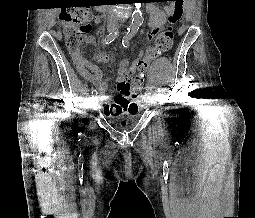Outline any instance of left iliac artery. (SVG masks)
<instances>
[{
  "label": "left iliac artery",
  "mask_w": 255,
  "mask_h": 218,
  "mask_svg": "<svg viewBox=\"0 0 255 218\" xmlns=\"http://www.w3.org/2000/svg\"><path fill=\"white\" fill-rule=\"evenodd\" d=\"M135 34V31H129L123 38L122 40V45L127 48L129 47V44H130V40L132 39V37L134 36ZM149 95V93H148Z\"/></svg>",
  "instance_id": "44dca946"
}]
</instances>
